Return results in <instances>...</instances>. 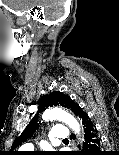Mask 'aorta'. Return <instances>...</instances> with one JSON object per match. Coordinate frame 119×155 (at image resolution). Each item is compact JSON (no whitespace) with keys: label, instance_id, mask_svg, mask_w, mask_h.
Masks as SVG:
<instances>
[{"label":"aorta","instance_id":"762f6f07","mask_svg":"<svg viewBox=\"0 0 119 155\" xmlns=\"http://www.w3.org/2000/svg\"><path fill=\"white\" fill-rule=\"evenodd\" d=\"M45 121L58 120L68 125L75 133L80 132V125L78 121L67 111L60 107L48 108L42 116Z\"/></svg>","mask_w":119,"mask_h":155}]
</instances>
